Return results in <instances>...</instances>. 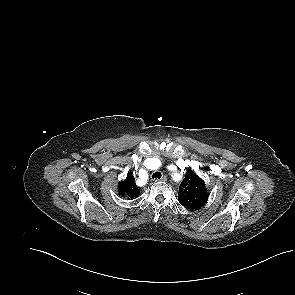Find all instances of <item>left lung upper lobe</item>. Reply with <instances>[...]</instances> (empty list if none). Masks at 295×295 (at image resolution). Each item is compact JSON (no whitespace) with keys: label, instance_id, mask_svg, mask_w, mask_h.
Instances as JSON below:
<instances>
[{"label":"left lung upper lobe","instance_id":"1","mask_svg":"<svg viewBox=\"0 0 295 295\" xmlns=\"http://www.w3.org/2000/svg\"><path fill=\"white\" fill-rule=\"evenodd\" d=\"M208 196L204 181L189 169L179 186L178 200L181 205L196 210L206 203Z\"/></svg>","mask_w":295,"mask_h":295}]
</instances>
